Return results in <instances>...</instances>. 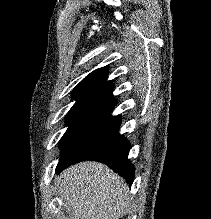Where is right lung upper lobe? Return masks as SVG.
I'll list each match as a JSON object with an SVG mask.
<instances>
[{
	"label": "right lung upper lobe",
	"mask_w": 211,
	"mask_h": 219,
	"mask_svg": "<svg viewBox=\"0 0 211 219\" xmlns=\"http://www.w3.org/2000/svg\"><path fill=\"white\" fill-rule=\"evenodd\" d=\"M107 75V67L91 72L73 89V98L77 101L91 100L116 105L117 102L112 94L114 87L112 82L107 81Z\"/></svg>",
	"instance_id": "1"
}]
</instances>
